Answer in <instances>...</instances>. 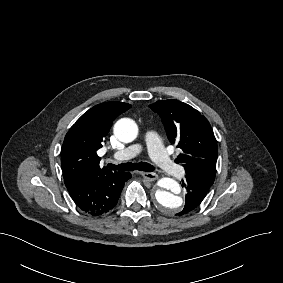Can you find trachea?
Masks as SVG:
<instances>
[{"label":"trachea","instance_id":"3493384b","mask_svg":"<svg viewBox=\"0 0 283 283\" xmlns=\"http://www.w3.org/2000/svg\"><path fill=\"white\" fill-rule=\"evenodd\" d=\"M108 167L112 170H119V171H133V170H139V171H145V172H153L154 167L153 165L146 163V162H139V163H121L118 165L114 164H108Z\"/></svg>","mask_w":283,"mask_h":283}]
</instances>
